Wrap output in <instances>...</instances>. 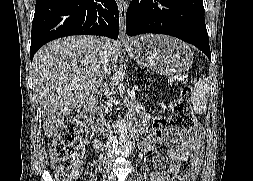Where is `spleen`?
Listing matches in <instances>:
<instances>
[{"instance_id": "spleen-1", "label": "spleen", "mask_w": 253, "mask_h": 181, "mask_svg": "<svg viewBox=\"0 0 253 181\" xmlns=\"http://www.w3.org/2000/svg\"><path fill=\"white\" fill-rule=\"evenodd\" d=\"M209 80L203 77L198 80L193 91V109L198 114H203L207 108Z\"/></svg>"}]
</instances>
